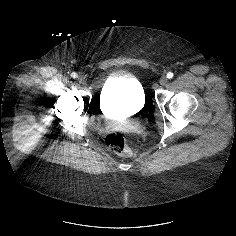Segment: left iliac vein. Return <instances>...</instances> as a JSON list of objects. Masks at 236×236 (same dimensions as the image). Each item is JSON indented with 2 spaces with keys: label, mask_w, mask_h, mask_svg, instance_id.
Listing matches in <instances>:
<instances>
[{
  "label": "left iliac vein",
  "mask_w": 236,
  "mask_h": 236,
  "mask_svg": "<svg viewBox=\"0 0 236 236\" xmlns=\"http://www.w3.org/2000/svg\"><path fill=\"white\" fill-rule=\"evenodd\" d=\"M167 82H168V79H167L166 76H162V77L159 79V84H160L161 86L166 85Z\"/></svg>",
  "instance_id": "left-iliac-vein-1"
}]
</instances>
